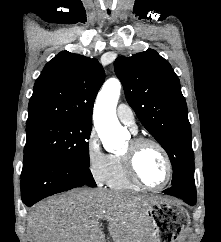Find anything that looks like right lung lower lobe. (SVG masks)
Returning <instances> with one entry per match:
<instances>
[{"label": "right lung lower lobe", "instance_id": "obj_1", "mask_svg": "<svg viewBox=\"0 0 221 242\" xmlns=\"http://www.w3.org/2000/svg\"><path fill=\"white\" fill-rule=\"evenodd\" d=\"M83 185L96 187L87 166L52 155L24 156L21 197L29 207L47 196Z\"/></svg>", "mask_w": 221, "mask_h": 242}]
</instances>
